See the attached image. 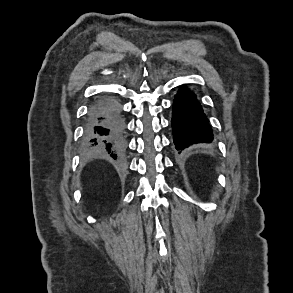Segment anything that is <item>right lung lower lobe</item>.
Returning a JSON list of instances; mask_svg holds the SVG:
<instances>
[{"label": "right lung lower lobe", "mask_w": 293, "mask_h": 293, "mask_svg": "<svg viewBox=\"0 0 293 293\" xmlns=\"http://www.w3.org/2000/svg\"><path fill=\"white\" fill-rule=\"evenodd\" d=\"M124 132L125 122L117 102L100 98L91 105L85 126L87 143L116 159L125 147Z\"/></svg>", "instance_id": "98d812e1"}]
</instances>
